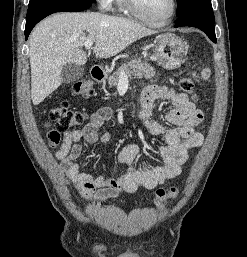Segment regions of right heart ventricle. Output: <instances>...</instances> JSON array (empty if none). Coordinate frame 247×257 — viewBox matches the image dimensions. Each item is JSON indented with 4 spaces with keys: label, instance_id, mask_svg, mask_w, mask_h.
I'll return each instance as SVG.
<instances>
[{
    "label": "right heart ventricle",
    "instance_id": "right-heart-ventricle-1",
    "mask_svg": "<svg viewBox=\"0 0 247 257\" xmlns=\"http://www.w3.org/2000/svg\"><path fill=\"white\" fill-rule=\"evenodd\" d=\"M115 3H116V5H117V7H118V9H119L120 11H122V12H127V9H126V7H125V5H124L123 0H115Z\"/></svg>",
    "mask_w": 247,
    "mask_h": 257
}]
</instances>
